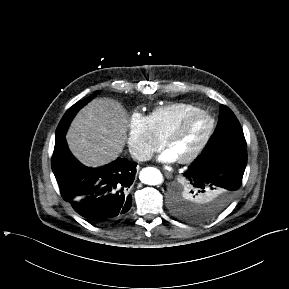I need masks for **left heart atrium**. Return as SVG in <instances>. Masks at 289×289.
<instances>
[{
  "instance_id": "obj_1",
  "label": "left heart atrium",
  "mask_w": 289,
  "mask_h": 289,
  "mask_svg": "<svg viewBox=\"0 0 289 289\" xmlns=\"http://www.w3.org/2000/svg\"><path fill=\"white\" fill-rule=\"evenodd\" d=\"M158 159L162 162H174L178 158L170 149H166L160 154Z\"/></svg>"
}]
</instances>
